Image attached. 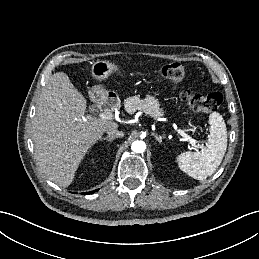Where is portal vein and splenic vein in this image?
<instances>
[{
    "mask_svg": "<svg viewBox=\"0 0 259 259\" xmlns=\"http://www.w3.org/2000/svg\"><path fill=\"white\" fill-rule=\"evenodd\" d=\"M99 118L103 120H111L113 118V114L110 111H105L99 114ZM178 133L184 137L186 141H189L192 146H196L197 141L193 139L191 136L186 134L183 130H178Z\"/></svg>",
    "mask_w": 259,
    "mask_h": 259,
    "instance_id": "portal-vein-and-splenic-vein-1",
    "label": "portal vein and splenic vein"
}]
</instances>
